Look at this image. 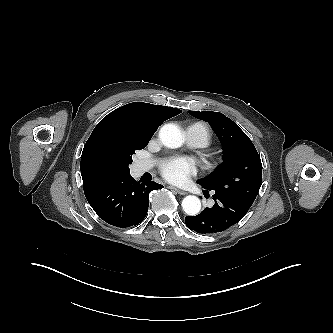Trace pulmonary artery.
<instances>
[{
  "label": "pulmonary artery",
  "instance_id": "pulmonary-artery-1",
  "mask_svg": "<svg viewBox=\"0 0 333 333\" xmlns=\"http://www.w3.org/2000/svg\"><path fill=\"white\" fill-rule=\"evenodd\" d=\"M186 141L190 147L201 148L205 147L208 143L206 128L199 123L192 124L186 129ZM149 162H139L138 169L140 172H145L150 169Z\"/></svg>",
  "mask_w": 333,
  "mask_h": 333
}]
</instances>
